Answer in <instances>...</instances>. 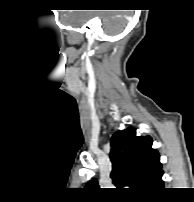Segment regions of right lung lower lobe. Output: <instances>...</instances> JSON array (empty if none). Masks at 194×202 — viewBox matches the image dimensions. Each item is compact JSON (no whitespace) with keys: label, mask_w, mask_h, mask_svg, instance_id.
<instances>
[{"label":"right lung lower lobe","mask_w":194,"mask_h":202,"mask_svg":"<svg viewBox=\"0 0 194 202\" xmlns=\"http://www.w3.org/2000/svg\"><path fill=\"white\" fill-rule=\"evenodd\" d=\"M162 190H163V187H162V188H160L159 190H157V191L153 192V194H154V195L159 194V193H161V192H162Z\"/></svg>","instance_id":"right-lung-lower-lobe-1"}]
</instances>
